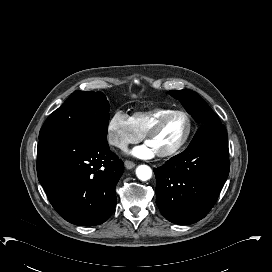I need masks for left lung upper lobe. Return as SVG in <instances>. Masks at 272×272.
<instances>
[{"label":"left lung upper lobe","mask_w":272,"mask_h":272,"mask_svg":"<svg viewBox=\"0 0 272 272\" xmlns=\"http://www.w3.org/2000/svg\"><path fill=\"white\" fill-rule=\"evenodd\" d=\"M169 94L177 98L182 103L186 111L202 125L208 123H221L218 116L196 92L188 89L172 90L169 91Z\"/></svg>","instance_id":"5c2ea615"}]
</instances>
